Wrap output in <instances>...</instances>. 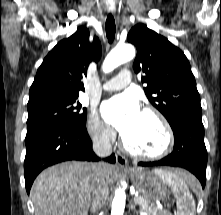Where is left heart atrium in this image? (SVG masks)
Returning <instances> with one entry per match:
<instances>
[{
  "mask_svg": "<svg viewBox=\"0 0 221 215\" xmlns=\"http://www.w3.org/2000/svg\"><path fill=\"white\" fill-rule=\"evenodd\" d=\"M101 112L104 119L122 137L127 136L134 129L141 115L138 100L131 94H122L105 101Z\"/></svg>",
  "mask_w": 221,
  "mask_h": 215,
  "instance_id": "left-heart-atrium-1",
  "label": "left heart atrium"
}]
</instances>
